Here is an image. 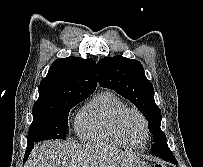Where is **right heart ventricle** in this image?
<instances>
[{
  "label": "right heart ventricle",
  "instance_id": "right-heart-ventricle-1",
  "mask_svg": "<svg viewBox=\"0 0 203 167\" xmlns=\"http://www.w3.org/2000/svg\"><path fill=\"white\" fill-rule=\"evenodd\" d=\"M124 107L125 103L115 93L108 90L99 93L78 113L75 121L77 136L88 142L130 147L114 129L115 117Z\"/></svg>",
  "mask_w": 203,
  "mask_h": 167
}]
</instances>
